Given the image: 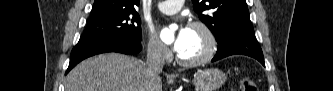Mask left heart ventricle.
Masks as SVG:
<instances>
[{
    "label": "left heart ventricle",
    "mask_w": 333,
    "mask_h": 91,
    "mask_svg": "<svg viewBox=\"0 0 333 91\" xmlns=\"http://www.w3.org/2000/svg\"><path fill=\"white\" fill-rule=\"evenodd\" d=\"M207 47V40L199 29L189 28L183 50L179 53L183 58L194 59L201 56Z\"/></svg>",
    "instance_id": "left-heart-ventricle-1"
}]
</instances>
